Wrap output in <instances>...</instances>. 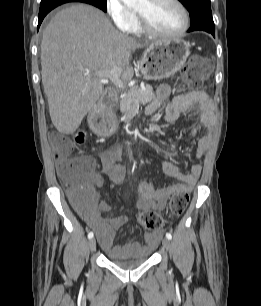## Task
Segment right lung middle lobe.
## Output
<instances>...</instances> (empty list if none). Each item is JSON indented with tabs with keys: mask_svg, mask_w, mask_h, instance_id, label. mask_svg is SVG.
<instances>
[{
	"mask_svg": "<svg viewBox=\"0 0 261 306\" xmlns=\"http://www.w3.org/2000/svg\"><path fill=\"white\" fill-rule=\"evenodd\" d=\"M52 2H60V0H42L40 5H44L47 3H52ZM85 3L94 5L100 9H102L104 12H106V0H84Z\"/></svg>",
	"mask_w": 261,
	"mask_h": 306,
	"instance_id": "1",
	"label": "right lung middle lobe"
}]
</instances>
